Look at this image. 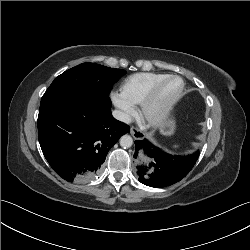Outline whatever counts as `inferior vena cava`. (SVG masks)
Here are the masks:
<instances>
[{"label":"inferior vena cava","mask_w":250,"mask_h":250,"mask_svg":"<svg viewBox=\"0 0 250 250\" xmlns=\"http://www.w3.org/2000/svg\"><path fill=\"white\" fill-rule=\"evenodd\" d=\"M112 115L115 119L119 120V121H122L124 123H130L131 122V117L129 114L123 112V111H120V110H114L112 112Z\"/></svg>","instance_id":"inferior-vena-cava-1"}]
</instances>
